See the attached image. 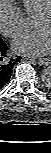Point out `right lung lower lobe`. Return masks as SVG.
<instances>
[{
	"label": "right lung lower lobe",
	"instance_id": "1",
	"mask_svg": "<svg viewBox=\"0 0 51 153\" xmlns=\"http://www.w3.org/2000/svg\"><path fill=\"white\" fill-rule=\"evenodd\" d=\"M7 49V45L0 39V88L8 83L12 75L13 66L17 61H20L19 56L16 59L9 60L6 53Z\"/></svg>",
	"mask_w": 51,
	"mask_h": 153
}]
</instances>
